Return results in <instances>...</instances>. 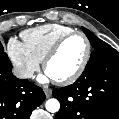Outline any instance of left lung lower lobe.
I'll list each match as a JSON object with an SVG mask.
<instances>
[{
    "instance_id": "left-lung-lower-lobe-1",
    "label": "left lung lower lobe",
    "mask_w": 119,
    "mask_h": 119,
    "mask_svg": "<svg viewBox=\"0 0 119 119\" xmlns=\"http://www.w3.org/2000/svg\"><path fill=\"white\" fill-rule=\"evenodd\" d=\"M61 104L55 119H119V52L87 64L71 85L53 90Z\"/></svg>"
}]
</instances>
